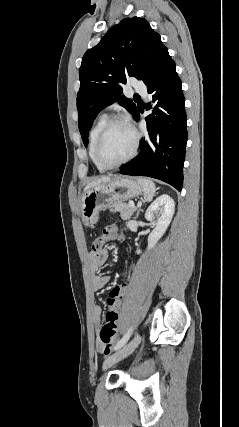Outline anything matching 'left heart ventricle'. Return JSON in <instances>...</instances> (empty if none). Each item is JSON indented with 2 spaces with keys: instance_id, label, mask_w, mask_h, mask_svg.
<instances>
[{
  "instance_id": "b2bd125f",
  "label": "left heart ventricle",
  "mask_w": 239,
  "mask_h": 427,
  "mask_svg": "<svg viewBox=\"0 0 239 427\" xmlns=\"http://www.w3.org/2000/svg\"><path fill=\"white\" fill-rule=\"evenodd\" d=\"M133 143L134 135L132 131L123 124L115 125L104 138L100 156L107 163H116L130 153Z\"/></svg>"
}]
</instances>
